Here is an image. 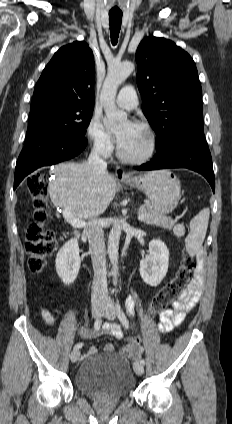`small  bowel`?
Masks as SVG:
<instances>
[{"instance_id":"obj_1","label":"small bowel","mask_w":232,"mask_h":424,"mask_svg":"<svg viewBox=\"0 0 232 424\" xmlns=\"http://www.w3.org/2000/svg\"><path fill=\"white\" fill-rule=\"evenodd\" d=\"M198 263L197 271L186 291L174 303L172 309H166L160 313L158 329L161 332H168L180 326L184 321L186 314L196 305L200 297L201 288L204 281L201 265L202 258L200 256ZM127 304H133L132 297L127 299ZM42 315L48 325H53L54 319L48 310H44ZM78 334L83 339H94L101 335H109L118 339L123 337L122 330L116 323H105L99 330L81 327L78 329ZM104 350L108 353H111L116 350V347L115 345L108 343L105 345ZM97 352V348L95 346H91L87 354L95 355ZM122 352L131 359L136 360L141 353V347L137 342L133 341V347H128V345L125 344Z\"/></svg>"}]
</instances>
